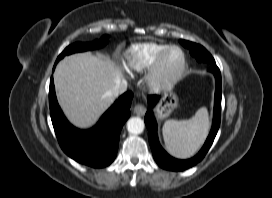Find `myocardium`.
<instances>
[{
    "mask_svg": "<svg viewBox=\"0 0 272 198\" xmlns=\"http://www.w3.org/2000/svg\"><path fill=\"white\" fill-rule=\"evenodd\" d=\"M172 50H179L182 54V65L180 69L173 75L167 76L163 73V64L167 55ZM187 69V56L185 51L176 45L167 47L156 59L154 64L148 71L146 83L148 87L154 91L166 90L177 84L184 76Z\"/></svg>",
    "mask_w": 272,
    "mask_h": 198,
    "instance_id": "f54148a6",
    "label": "myocardium"
}]
</instances>
